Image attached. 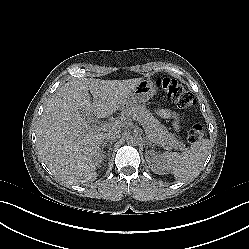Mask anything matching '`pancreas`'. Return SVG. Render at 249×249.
<instances>
[{"mask_svg":"<svg viewBox=\"0 0 249 249\" xmlns=\"http://www.w3.org/2000/svg\"><path fill=\"white\" fill-rule=\"evenodd\" d=\"M122 114L125 119H136L146 130L147 137L153 142L164 145L169 144L170 146L179 144L174 134L168 132L164 125L153 116L145 105L134 104L128 106L123 110Z\"/></svg>","mask_w":249,"mask_h":249,"instance_id":"pancreas-1","label":"pancreas"}]
</instances>
